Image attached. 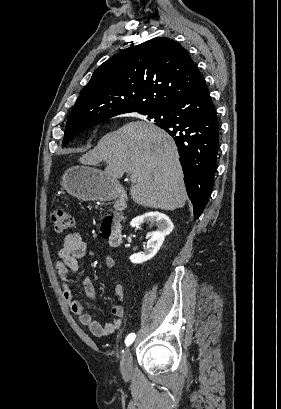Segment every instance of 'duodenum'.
Wrapping results in <instances>:
<instances>
[{
    "label": "duodenum",
    "mask_w": 281,
    "mask_h": 409,
    "mask_svg": "<svg viewBox=\"0 0 281 409\" xmlns=\"http://www.w3.org/2000/svg\"><path fill=\"white\" fill-rule=\"evenodd\" d=\"M116 203L112 213L107 214L101 221V231L105 238L108 239L110 245L114 248L121 246L123 241V228L121 225L120 214L125 209L127 196L125 188L118 186L114 193Z\"/></svg>",
    "instance_id": "duodenum-1"
}]
</instances>
